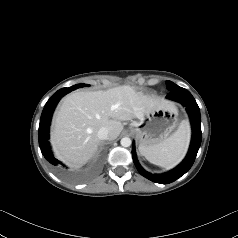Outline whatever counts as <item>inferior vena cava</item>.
<instances>
[{
	"instance_id": "inferior-vena-cava-1",
	"label": "inferior vena cava",
	"mask_w": 238,
	"mask_h": 238,
	"mask_svg": "<svg viewBox=\"0 0 238 238\" xmlns=\"http://www.w3.org/2000/svg\"><path fill=\"white\" fill-rule=\"evenodd\" d=\"M108 134H109L108 129L106 127H102L98 130L97 137L99 140H106L108 139Z\"/></svg>"
}]
</instances>
